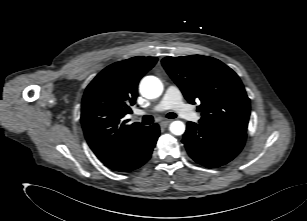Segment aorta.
<instances>
[{"instance_id": "aorta-1", "label": "aorta", "mask_w": 307, "mask_h": 221, "mask_svg": "<svg viewBox=\"0 0 307 221\" xmlns=\"http://www.w3.org/2000/svg\"><path fill=\"white\" fill-rule=\"evenodd\" d=\"M139 90L145 98L154 99L162 94L163 84L155 76H146L142 79ZM169 129L174 135H182L185 132V124L182 121H173Z\"/></svg>"}]
</instances>
